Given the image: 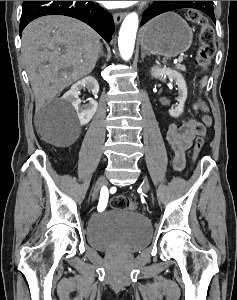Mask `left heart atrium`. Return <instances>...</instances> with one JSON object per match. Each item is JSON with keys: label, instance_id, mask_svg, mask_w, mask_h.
<instances>
[{"label": "left heart atrium", "instance_id": "left-heart-atrium-1", "mask_svg": "<svg viewBox=\"0 0 237 300\" xmlns=\"http://www.w3.org/2000/svg\"><path fill=\"white\" fill-rule=\"evenodd\" d=\"M109 9L124 8L134 4L136 1H101Z\"/></svg>", "mask_w": 237, "mask_h": 300}]
</instances>
